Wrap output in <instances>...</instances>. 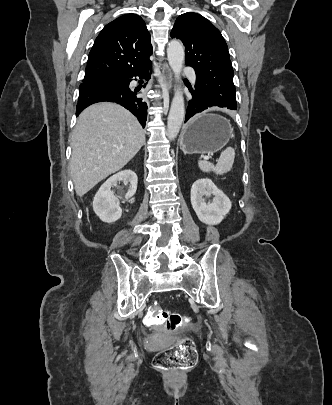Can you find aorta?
Segmentation results:
<instances>
[{"label": "aorta", "mask_w": 332, "mask_h": 405, "mask_svg": "<svg viewBox=\"0 0 332 405\" xmlns=\"http://www.w3.org/2000/svg\"><path fill=\"white\" fill-rule=\"evenodd\" d=\"M167 56L175 77L180 79V73L185 59L183 44L180 41H171L167 47ZM184 116L185 106L183 93L177 90L175 91L167 120V136L169 139H174L178 135L184 121Z\"/></svg>", "instance_id": "1"}]
</instances>
